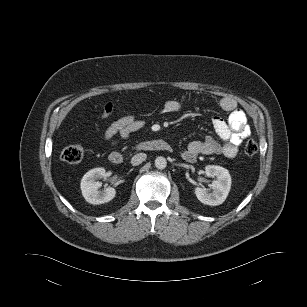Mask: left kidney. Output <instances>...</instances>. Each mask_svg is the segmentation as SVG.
I'll list each match as a JSON object with an SVG mask.
<instances>
[{"mask_svg": "<svg viewBox=\"0 0 307 307\" xmlns=\"http://www.w3.org/2000/svg\"><path fill=\"white\" fill-rule=\"evenodd\" d=\"M205 174L208 177H215L211 184L212 192H208L205 188L196 187L195 195L203 204L217 206L222 204L228 196L231 188V176L229 171L218 165H207Z\"/></svg>", "mask_w": 307, "mask_h": 307, "instance_id": "left-kidney-1", "label": "left kidney"}]
</instances>
